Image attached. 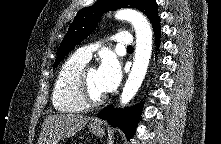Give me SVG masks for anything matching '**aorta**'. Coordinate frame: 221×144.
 <instances>
[{
    "label": "aorta",
    "instance_id": "762f6f07",
    "mask_svg": "<svg viewBox=\"0 0 221 144\" xmlns=\"http://www.w3.org/2000/svg\"><path fill=\"white\" fill-rule=\"evenodd\" d=\"M115 18L131 22L136 33L134 62L120 98L121 104L126 105L134 97L146 75L152 51V31L147 19L136 10L120 9Z\"/></svg>",
    "mask_w": 221,
    "mask_h": 144
}]
</instances>
